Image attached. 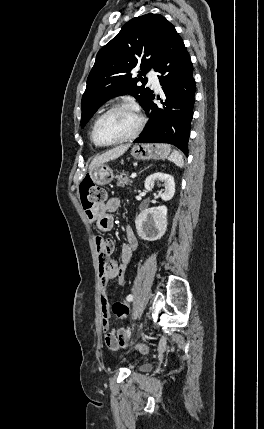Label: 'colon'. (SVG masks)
I'll use <instances>...</instances> for the list:
<instances>
[{"instance_id":"obj_1","label":"colon","mask_w":264,"mask_h":429,"mask_svg":"<svg viewBox=\"0 0 264 429\" xmlns=\"http://www.w3.org/2000/svg\"><path fill=\"white\" fill-rule=\"evenodd\" d=\"M80 199L84 210L92 214L98 205L104 203L106 199L105 191L99 186L95 185L91 179H84L80 184ZM113 314L122 320L129 316L128 306L120 301L114 302L112 305ZM119 340L121 347H134L143 349L144 345L138 342H128L124 333H119Z\"/></svg>"}]
</instances>
